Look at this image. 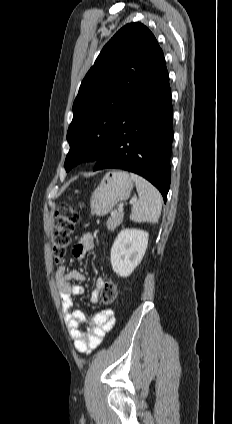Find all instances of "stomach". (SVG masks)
<instances>
[{
    "instance_id": "stomach-1",
    "label": "stomach",
    "mask_w": 232,
    "mask_h": 424,
    "mask_svg": "<svg viewBox=\"0 0 232 424\" xmlns=\"http://www.w3.org/2000/svg\"><path fill=\"white\" fill-rule=\"evenodd\" d=\"M133 181L125 171H110L93 191L90 199L91 214L104 216L114 206L129 198Z\"/></svg>"
}]
</instances>
